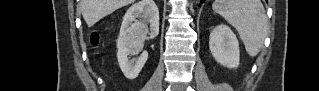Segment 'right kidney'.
Listing matches in <instances>:
<instances>
[{
    "mask_svg": "<svg viewBox=\"0 0 319 91\" xmlns=\"http://www.w3.org/2000/svg\"><path fill=\"white\" fill-rule=\"evenodd\" d=\"M147 34L151 39L159 34V10L153 0H140L125 13L117 39L118 63L128 79H135L148 59L146 51L137 58L128 57L143 50Z\"/></svg>",
    "mask_w": 319,
    "mask_h": 91,
    "instance_id": "ca27d5eb",
    "label": "right kidney"
}]
</instances>
